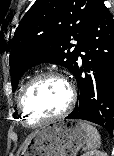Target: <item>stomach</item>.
<instances>
[{
  "instance_id": "1",
  "label": "stomach",
  "mask_w": 114,
  "mask_h": 156,
  "mask_svg": "<svg viewBox=\"0 0 114 156\" xmlns=\"http://www.w3.org/2000/svg\"><path fill=\"white\" fill-rule=\"evenodd\" d=\"M87 140L80 120L50 123L33 134L20 156H75Z\"/></svg>"
}]
</instances>
